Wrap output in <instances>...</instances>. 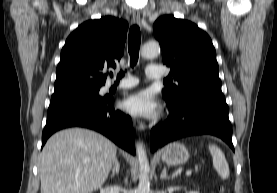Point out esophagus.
Masks as SVG:
<instances>
[{"label": "esophagus", "mask_w": 277, "mask_h": 193, "mask_svg": "<svg viewBox=\"0 0 277 193\" xmlns=\"http://www.w3.org/2000/svg\"><path fill=\"white\" fill-rule=\"evenodd\" d=\"M132 16H133L134 22H136L137 24H140V12L134 9L132 11ZM133 124L138 130H144L146 128V124L143 121L138 119H134Z\"/></svg>", "instance_id": "1"}]
</instances>
